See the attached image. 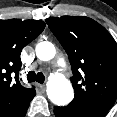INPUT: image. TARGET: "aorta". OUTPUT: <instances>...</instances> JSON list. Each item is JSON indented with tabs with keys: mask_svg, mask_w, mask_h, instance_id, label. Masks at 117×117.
<instances>
[{
	"mask_svg": "<svg viewBox=\"0 0 117 117\" xmlns=\"http://www.w3.org/2000/svg\"><path fill=\"white\" fill-rule=\"evenodd\" d=\"M55 53V47L51 42L42 41L36 46V55L40 60H51ZM47 93L51 102L57 106L69 104L74 97L72 84L63 74L50 76L47 83Z\"/></svg>",
	"mask_w": 117,
	"mask_h": 117,
	"instance_id": "1",
	"label": "aorta"
}]
</instances>
